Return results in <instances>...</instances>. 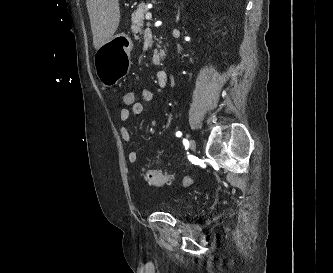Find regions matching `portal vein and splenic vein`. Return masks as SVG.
<instances>
[{
    "instance_id": "obj_1",
    "label": "portal vein and splenic vein",
    "mask_w": 333,
    "mask_h": 273,
    "mask_svg": "<svg viewBox=\"0 0 333 273\" xmlns=\"http://www.w3.org/2000/svg\"><path fill=\"white\" fill-rule=\"evenodd\" d=\"M145 17L147 20H150L152 18V14L148 12Z\"/></svg>"
}]
</instances>
